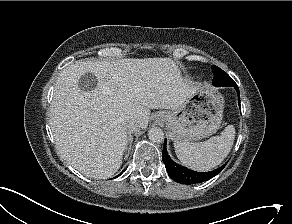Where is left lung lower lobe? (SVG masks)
<instances>
[{
  "label": "left lung lower lobe",
  "instance_id": "1",
  "mask_svg": "<svg viewBox=\"0 0 292 224\" xmlns=\"http://www.w3.org/2000/svg\"><path fill=\"white\" fill-rule=\"evenodd\" d=\"M228 83L223 84L224 86H233L238 94V103L240 105V94H239V88L237 87L236 83L227 75ZM162 159L166 166V171L169 174V176L176 182L181 184H195V183H201L206 180L211 179L212 177L216 176L224 167H222L213 170L211 172H196L192 171L186 167H183L177 163H175L168 155L166 150V140L164 143V148L162 151Z\"/></svg>",
  "mask_w": 292,
  "mask_h": 224
}]
</instances>
